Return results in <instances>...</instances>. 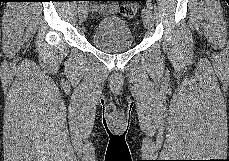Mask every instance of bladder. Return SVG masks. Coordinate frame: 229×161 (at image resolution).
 Wrapping results in <instances>:
<instances>
[{"instance_id":"1","label":"bladder","mask_w":229,"mask_h":161,"mask_svg":"<svg viewBox=\"0 0 229 161\" xmlns=\"http://www.w3.org/2000/svg\"><path fill=\"white\" fill-rule=\"evenodd\" d=\"M91 41L96 47L106 52L130 49L134 45V35L130 26L119 17H105L98 20L92 33Z\"/></svg>"}]
</instances>
